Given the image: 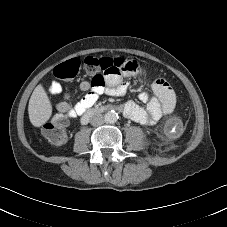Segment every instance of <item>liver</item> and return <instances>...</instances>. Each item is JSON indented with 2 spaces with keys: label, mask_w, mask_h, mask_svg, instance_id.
Segmentation results:
<instances>
[{
  "label": "liver",
  "mask_w": 227,
  "mask_h": 227,
  "mask_svg": "<svg viewBox=\"0 0 227 227\" xmlns=\"http://www.w3.org/2000/svg\"><path fill=\"white\" fill-rule=\"evenodd\" d=\"M28 114L35 127L45 124L52 114V105L42 84L36 86L30 97Z\"/></svg>",
  "instance_id": "6515ba94"
}]
</instances>
